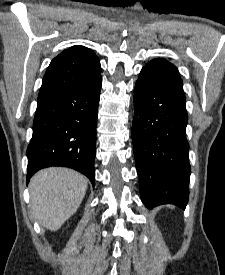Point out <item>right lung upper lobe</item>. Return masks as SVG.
<instances>
[{
    "label": "right lung upper lobe",
    "instance_id": "obj_1",
    "mask_svg": "<svg viewBox=\"0 0 225 275\" xmlns=\"http://www.w3.org/2000/svg\"><path fill=\"white\" fill-rule=\"evenodd\" d=\"M95 53L84 46H72L50 63L43 77L38 99L75 89L91 88L101 75Z\"/></svg>",
    "mask_w": 225,
    "mask_h": 275
}]
</instances>
